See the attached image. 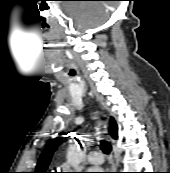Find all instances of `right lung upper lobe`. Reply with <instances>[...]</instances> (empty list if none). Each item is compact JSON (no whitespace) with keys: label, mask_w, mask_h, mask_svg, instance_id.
I'll list each match as a JSON object with an SVG mask.
<instances>
[{"label":"right lung upper lobe","mask_w":170,"mask_h":173,"mask_svg":"<svg viewBox=\"0 0 170 173\" xmlns=\"http://www.w3.org/2000/svg\"><path fill=\"white\" fill-rule=\"evenodd\" d=\"M117 131H118V127L114 119L111 118L109 132H110V135L115 139L117 138ZM60 143H61V138L58 137L54 139L50 144L47 145V147L43 150L38 160L35 173H47L46 170L51 161L52 154L60 145Z\"/></svg>","instance_id":"1"}]
</instances>
